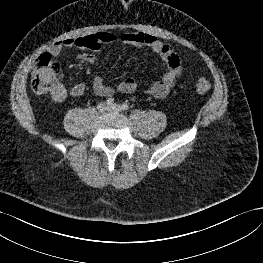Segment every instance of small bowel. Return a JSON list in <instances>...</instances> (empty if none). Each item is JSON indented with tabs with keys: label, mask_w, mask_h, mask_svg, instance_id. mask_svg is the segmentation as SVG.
<instances>
[{
	"label": "small bowel",
	"mask_w": 263,
	"mask_h": 263,
	"mask_svg": "<svg viewBox=\"0 0 263 263\" xmlns=\"http://www.w3.org/2000/svg\"><path fill=\"white\" fill-rule=\"evenodd\" d=\"M114 42L147 48L163 61L166 66V71L159 80L145 88L144 93L156 99L167 97L174 88L177 79L181 76V60L171 45L162 42L153 35L143 32H130L115 36L107 31H99L95 34L57 41L49 47V53L57 57L64 49L78 48L83 50V52L79 54V59L90 65H94L95 57L91 51L98 50L102 45ZM92 87L94 92L101 97H110L114 94V89L107 85L99 75L94 77ZM137 89L138 84L132 78L124 79L117 86L119 92L126 94L133 93ZM85 90L86 85L83 82L75 84L69 91L62 84L58 83L51 93V97L53 100L61 102L65 100L68 95L79 97L84 94Z\"/></svg>",
	"instance_id": "1"
}]
</instances>
